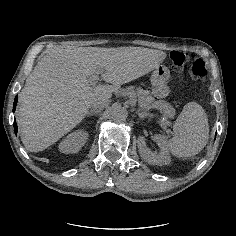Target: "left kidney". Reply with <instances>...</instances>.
Returning <instances> with one entry per match:
<instances>
[{"mask_svg":"<svg viewBox=\"0 0 236 236\" xmlns=\"http://www.w3.org/2000/svg\"><path fill=\"white\" fill-rule=\"evenodd\" d=\"M153 141L157 143L160 148L159 154H154L149 149H147L145 137L143 135L138 136L137 147L142 160L153 165L168 164L170 162V156L168 153V146L166 145L164 138L158 134H154Z\"/></svg>","mask_w":236,"mask_h":236,"instance_id":"1","label":"left kidney"}]
</instances>
